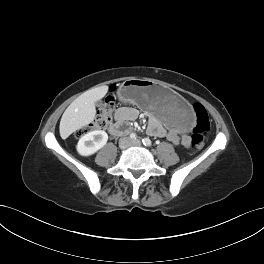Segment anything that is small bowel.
I'll list each match as a JSON object with an SVG mask.
<instances>
[{
    "instance_id": "c3829d8e",
    "label": "small bowel",
    "mask_w": 264,
    "mask_h": 264,
    "mask_svg": "<svg viewBox=\"0 0 264 264\" xmlns=\"http://www.w3.org/2000/svg\"><path fill=\"white\" fill-rule=\"evenodd\" d=\"M138 117V110L133 107H121L116 111L115 118L119 123H123L128 120H134ZM148 133L156 137H167L174 144L189 145V138L183 135L179 130L165 129L162 124L156 120L151 119L148 124Z\"/></svg>"
}]
</instances>
